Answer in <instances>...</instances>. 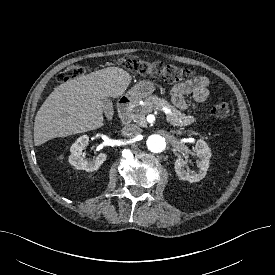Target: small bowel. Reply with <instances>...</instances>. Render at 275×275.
Segmentation results:
<instances>
[{
  "mask_svg": "<svg viewBox=\"0 0 275 275\" xmlns=\"http://www.w3.org/2000/svg\"><path fill=\"white\" fill-rule=\"evenodd\" d=\"M209 81L204 76L195 77L184 83L176 84L171 88L173 104L179 109H186L188 103L186 95H191L195 102H204L209 96Z\"/></svg>",
  "mask_w": 275,
  "mask_h": 275,
  "instance_id": "1",
  "label": "small bowel"
}]
</instances>
